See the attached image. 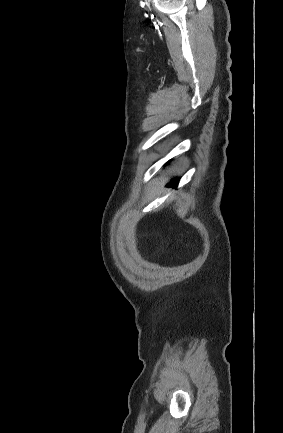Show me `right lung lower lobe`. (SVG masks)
<instances>
[{
  "label": "right lung lower lobe",
  "instance_id": "right-lung-lower-lobe-1",
  "mask_svg": "<svg viewBox=\"0 0 283 433\" xmlns=\"http://www.w3.org/2000/svg\"><path fill=\"white\" fill-rule=\"evenodd\" d=\"M178 179H174V180H172L171 182H170V184H168L167 186L168 187H176L177 186V184H178Z\"/></svg>",
  "mask_w": 283,
  "mask_h": 433
}]
</instances>
